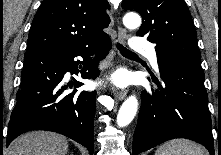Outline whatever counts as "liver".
Returning a JSON list of instances; mask_svg holds the SVG:
<instances>
[{
	"instance_id": "liver-1",
	"label": "liver",
	"mask_w": 221,
	"mask_h": 155,
	"mask_svg": "<svg viewBox=\"0 0 221 155\" xmlns=\"http://www.w3.org/2000/svg\"><path fill=\"white\" fill-rule=\"evenodd\" d=\"M67 139L46 131H32L16 138L7 155H66Z\"/></svg>"
}]
</instances>
